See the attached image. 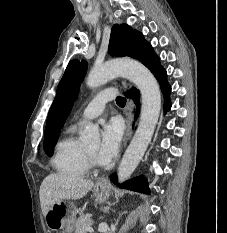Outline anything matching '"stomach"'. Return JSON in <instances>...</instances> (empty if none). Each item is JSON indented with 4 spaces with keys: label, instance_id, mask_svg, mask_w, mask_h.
I'll use <instances>...</instances> for the list:
<instances>
[{
    "label": "stomach",
    "instance_id": "1",
    "mask_svg": "<svg viewBox=\"0 0 227 233\" xmlns=\"http://www.w3.org/2000/svg\"><path fill=\"white\" fill-rule=\"evenodd\" d=\"M93 194L96 202H104L110 195V188L103 185H95ZM46 224L51 230L65 229L72 233L76 222V207L70 201L55 203L45 216Z\"/></svg>",
    "mask_w": 227,
    "mask_h": 233
}]
</instances>
